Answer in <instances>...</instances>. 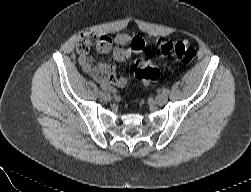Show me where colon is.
Here are the masks:
<instances>
[{"label":"colon","mask_w":251,"mask_h":192,"mask_svg":"<svg viewBox=\"0 0 251 192\" xmlns=\"http://www.w3.org/2000/svg\"><path fill=\"white\" fill-rule=\"evenodd\" d=\"M155 47L162 55L172 56L183 64H190L197 55L194 47L182 41L158 40ZM135 67V77L145 86L152 85L160 76L159 69L147 58L138 59Z\"/></svg>","instance_id":"obj_1"}]
</instances>
